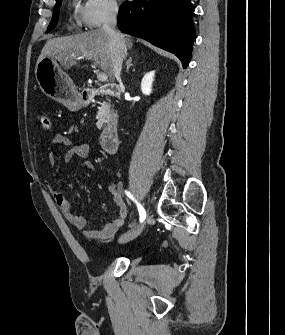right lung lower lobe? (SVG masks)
<instances>
[{"mask_svg":"<svg viewBox=\"0 0 285 335\" xmlns=\"http://www.w3.org/2000/svg\"><path fill=\"white\" fill-rule=\"evenodd\" d=\"M191 0H133L119 8L121 31L175 54L186 68L196 34Z\"/></svg>","mask_w":285,"mask_h":335,"instance_id":"right-lung-lower-lobe-1","label":"right lung lower lobe"}]
</instances>
